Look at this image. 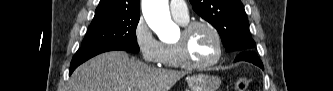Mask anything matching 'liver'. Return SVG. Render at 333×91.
Instances as JSON below:
<instances>
[{
  "label": "liver",
  "instance_id": "liver-1",
  "mask_svg": "<svg viewBox=\"0 0 333 91\" xmlns=\"http://www.w3.org/2000/svg\"><path fill=\"white\" fill-rule=\"evenodd\" d=\"M185 75L151 67L123 51H112L79 66L69 79V91H169Z\"/></svg>",
  "mask_w": 333,
  "mask_h": 91
}]
</instances>
